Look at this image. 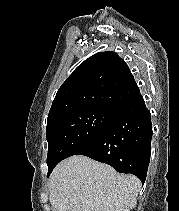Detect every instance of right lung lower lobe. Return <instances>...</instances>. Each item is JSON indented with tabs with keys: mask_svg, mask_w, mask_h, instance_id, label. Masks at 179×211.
I'll return each mask as SVG.
<instances>
[{
	"mask_svg": "<svg viewBox=\"0 0 179 211\" xmlns=\"http://www.w3.org/2000/svg\"><path fill=\"white\" fill-rule=\"evenodd\" d=\"M151 114L140 91L116 110L103 132L74 155L109 164L144 184L151 155ZM50 175V174H49Z\"/></svg>",
	"mask_w": 179,
	"mask_h": 211,
	"instance_id": "right-lung-lower-lobe-1",
	"label": "right lung lower lobe"
}]
</instances>
